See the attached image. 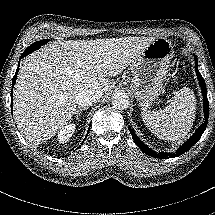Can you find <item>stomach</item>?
I'll use <instances>...</instances> for the list:
<instances>
[{"label": "stomach", "mask_w": 215, "mask_h": 215, "mask_svg": "<svg viewBox=\"0 0 215 215\" xmlns=\"http://www.w3.org/2000/svg\"><path fill=\"white\" fill-rule=\"evenodd\" d=\"M173 55L171 42L166 38L155 39L130 65L133 79L130 89L139 106L147 108L164 90V80Z\"/></svg>", "instance_id": "stomach-1"}]
</instances>
